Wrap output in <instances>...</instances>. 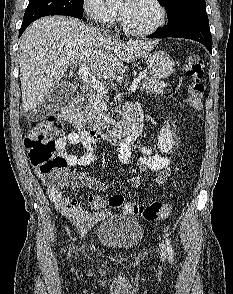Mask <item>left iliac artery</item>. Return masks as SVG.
<instances>
[{"mask_svg":"<svg viewBox=\"0 0 233 294\" xmlns=\"http://www.w3.org/2000/svg\"><path fill=\"white\" fill-rule=\"evenodd\" d=\"M166 247H167V254H168V259L170 262H173L174 259V253H173V248L170 243V240L168 239V235H166Z\"/></svg>","mask_w":233,"mask_h":294,"instance_id":"44dca946","label":"left iliac artery"}]
</instances>
